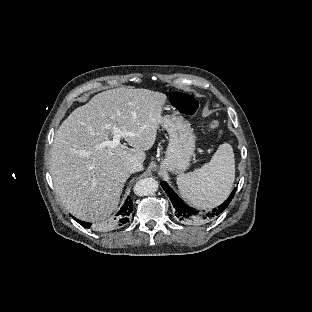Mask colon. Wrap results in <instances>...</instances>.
I'll list each match as a JSON object with an SVG mask.
<instances>
[{"instance_id": "5ec220e1", "label": "colon", "mask_w": 312, "mask_h": 312, "mask_svg": "<svg viewBox=\"0 0 312 312\" xmlns=\"http://www.w3.org/2000/svg\"><path fill=\"white\" fill-rule=\"evenodd\" d=\"M171 104L179 113L188 116L197 114L200 109L199 101L194 96L183 92H175L171 96ZM206 126L214 129L219 126V122L210 121L206 123Z\"/></svg>"}]
</instances>
